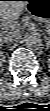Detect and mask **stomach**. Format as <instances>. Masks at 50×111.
Here are the masks:
<instances>
[{
	"mask_svg": "<svg viewBox=\"0 0 50 111\" xmlns=\"http://www.w3.org/2000/svg\"><path fill=\"white\" fill-rule=\"evenodd\" d=\"M27 11L37 21H50V0H27Z\"/></svg>",
	"mask_w": 50,
	"mask_h": 111,
	"instance_id": "1",
	"label": "stomach"
}]
</instances>
